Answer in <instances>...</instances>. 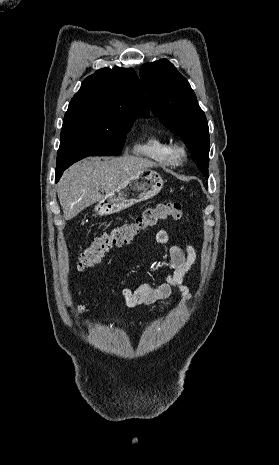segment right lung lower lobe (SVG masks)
<instances>
[{
  "instance_id": "98d812e1",
  "label": "right lung lower lobe",
  "mask_w": 279,
  "mask_h": 465,
  "mask_svg": "<svg viewBox=\"0 0 279 465\" xmlns=\"http://www.w3.org/2000/svg\"><path fill=\"white\" fill-rule=\"evenodd\" d=\"M66 168H62V169H56V182L59 180V178L61 177L63 171L65 170Z\"/></svg>"
}]
</instances>
